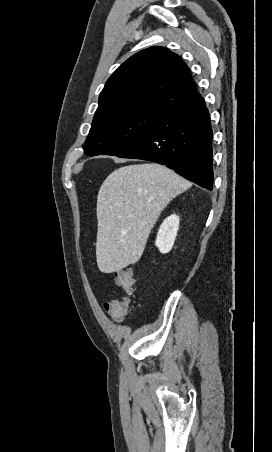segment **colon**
<instances>
[{"mask_svg": "<svg viewBox=\"0 0 272 452\" xmlns=\"http://www.w3.org/2000/svg\"><path fill=\"white\" fill-rule=\"evenodd\" d=\"M116 284L126 293L131 296L134 292L135 277L130 270H120L115 273ZM107 310L119 316H125L130 310V300L128 297L118 300L113 299L107 303Z\"/></svg>", "mask_w": 272, "mask_h": 452, "instance_id": "obj_1", "label": "colon"}]
</instances>
